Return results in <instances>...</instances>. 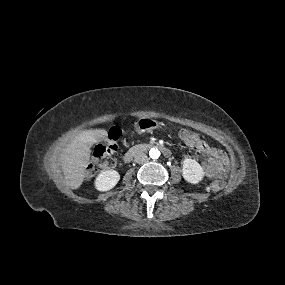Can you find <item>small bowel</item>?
Instances as JSON below:
<instances>
[{"label": "small bowel", "mask_w": 285, "mask_h": 285, "mask_svg": "<svg viewBox=\"0 0 285 285\" xmlns=\"http://www.w3.org/2000/svg\"><path fill=\"white\" fill-rule=\"evenodd\" d=\"M194 147L208 158L204 169L209 178H225L227 176L229 170L228 163L224 154L219 149L208 145L201 139H199V142Z\"/></svg>", "instance_id": "small-bowel-1"}]
</instances>
